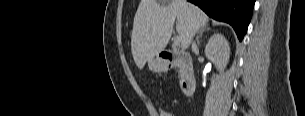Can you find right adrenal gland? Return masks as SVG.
I'll return each mask as SVG.
<instances>
[{"label":"right adrenal gland","instance_id":"obj_1","mask_svg":"<svg viewBox=\"0 0 305 116\" xmlns=\"http://www.w3.org/2000/svg\"><path fill=\"white\" fill-rule=\"evenodd\" d=\"M208 30H210L209 27H203V28H201V29L198 30V36L196 37L197 46H199V44H200L199 38L202 37L203 32H204V31H208ZM197 46H196V47H197Z\"/></svg>","mask_w":305,"mask_h":116}]
</instances>
